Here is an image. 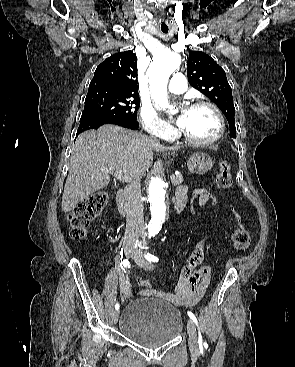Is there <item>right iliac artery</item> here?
Listing matches in <instances>:
<instances>
[{"label": "right iliac artery", "instance_id": "obj_1", "mask_svg": "<svg viewBox=\"0 0 295 367\" xmlns=\"http://www.w3.org/2000/svg\"><path fill=\"white\" fill-rule=\"evenodd\" d=\"M117 263L119 264L120 263V265L122 266H124L125 268H130V263H129V261L127 260V259H124L123 261H122V256H118L117 257ZM119 304L118 303H116V305H115V309L116 310H118L119 309Z\"/></svg>", "mask_w": 295, "mask_h": 367}]
</instances>
